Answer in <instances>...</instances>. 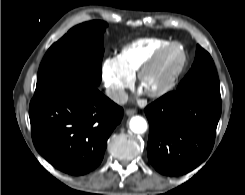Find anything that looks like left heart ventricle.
Segmentation results:
<instances>
[{
	"instance_id": "1",
	"label": "left heart ventricle",
	"mask_w": 245,
	"mask_h": 195,
	"mask_svg": "<svg viewBox=\"0 0 245 195\" xmlns=\"http://www.w3.org/2000/svg\"><path fill=\"white\" fill-rule=\"evenodd\" d=\"M180 58L177 49L167 54L162 61L144 79V89H155L167 78L171 70L175 67Z\"/></svg>"
}]
</instances>
